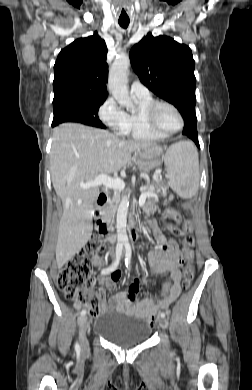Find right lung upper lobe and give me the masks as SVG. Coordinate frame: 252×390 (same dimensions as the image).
Instances as JSON below:
<instances>
[{
  "instance_id": "cb5924a9",
  "label": "right lung upper lobe",
  "mask_w": 252,
  "mask_h": 390,
  "mask_svg": "<svg viewBox=\"0 0 252 390\" xmlns=\"http://www.w3.org/2000/svg\"><path fill=\"white\" fill-rule=\"evenodd\" d=\"M105 41L95 32L62 49L54 65L53 102L68 98L106 99Z\"/></svg>"
}]
</instances>
